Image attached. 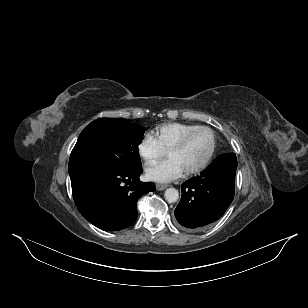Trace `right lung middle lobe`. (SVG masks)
I'll return each mask as SVG.
<instances>
[{
    "instance_id": "obj_1",
    "label": "right lung middle lobe",
    "mask_w": 308,
    "mask_h": 308,
    "mask_svg": "<svg viewBox=\"0 0 308 308\" xmlns=\"http://www.w3.org/2000/svg\"><path fill=\"white\" fill-rule=\"evenodd\" d=\"M143 128L127 119L100 118L81 132L68 165L69 173L96 169L108 172L141 168L138 145Z\"/></svg>"
}]
</instances>
